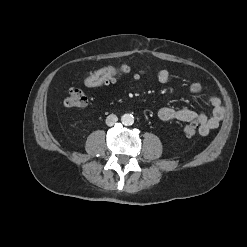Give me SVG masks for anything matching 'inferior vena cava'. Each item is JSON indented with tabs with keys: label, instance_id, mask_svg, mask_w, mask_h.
I'll list each match as a JSON object with an SVG mask.
<instances>
[{
	"label": "inferior vena cava",
	"instance_id": "obj_1",
	"mask_svg": "<svg viewBox=\"0 0 247 247\" xmlns=\"http://www.w3.org/2000/svg\"><path fill=\"white\" fill-rule=\"evenodd\" d=\"M117 121H118V117L114 114H111L106 118V124L108 126H113Z\"/></svg>",
	"mask_w": 247,
	"mask_h": 247
}]
</instances>
